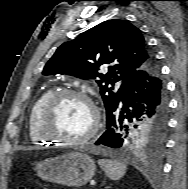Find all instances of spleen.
<instances>
[{"label": "spleen", "instance_id": "1", "mask_svg": "<svg viewBox=\"0 0 188 189\" xmlns=\"http://www.w3.org/2000/svg\"><path fill=\"white\" fill-rule=\"evenodd\" d=\"M98 164L104 170L105 174L112 180L121 179L127 170L126 165L114 160L101 159L98 161Z\"/></svg>", "mask_w": 188, "mask_h": 189}]
</instances>
